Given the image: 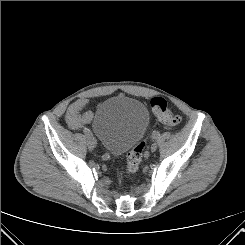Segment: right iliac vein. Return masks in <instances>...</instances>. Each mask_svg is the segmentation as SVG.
Returning <instances> with one entry per match:
<instances>
[{
    "label": "right iliac vein",
    "mask_w": 245,
    "mask_h": 245,
    "mask_svg": "<svg viewBox=\"0 0 245 245\" xmlns=\"http://www.w3.org/2000/svg\"><path fill=\"white\" fill-rule=\"evenodd\" d=\"M90 138H92L93 141H96V139L92 135L87 137L88 148L89 150H93L96 147V142H93Z\"/></svg>",
    "instance_id": "63e3f726"
}]
</instances>
